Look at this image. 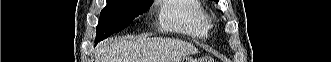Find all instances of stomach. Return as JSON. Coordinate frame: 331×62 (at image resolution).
Returning a JSON list of instances; mask_svg holds the SVG:
<instances>
[{
    "label": "stomach",
    "instance_id": "stomach-1",
    "mask_svg": "<svg viewBox=\"0 0 331 62\" xmlns=\"http://www.w3.org/2000/svg\"><path fill=\"white\" fill-rule=\"evenodd\" d=\"M178 62H195L193 59L188 58V57H183Z\"/></svg>",
    "mask_w": 331,
    "mask_h": 62
}]
</instances>
